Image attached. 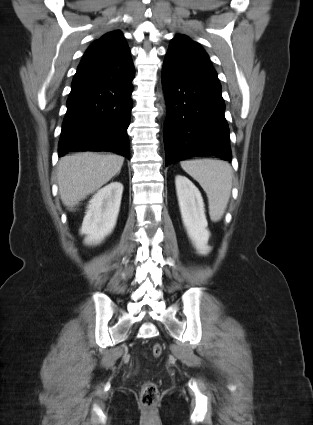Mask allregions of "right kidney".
I'll list each match as a JSON object with an SVG mask.
<instances>
[{
  "mask_svg": "<svg viewBox=\"0 0 313 425\" xmlns=\"http://www.w3.org/2000/svg\"><path fill=\"white\" fill-rule=\"evenodd\" d=\"M123 185L112 182L100 189L89 201L80 234L85 244L101 243L113 231L121 204Z\"/></svg>",
  "mask_w": 313,
  "mask_h": 425,
  "instance_id": "right-kidney-1",
  "label": "right kidney"
}]
</instances>
